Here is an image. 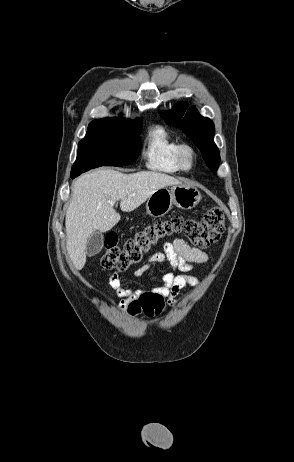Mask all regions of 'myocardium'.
Masks as SVG:
<instances>
[{
  "instance_id": "f54148a6",
  "label": "myocardium",
  "mask_w": 294,
  "mask_h": 462,
  "mask_svg": "<svg viewBox=\"0 0 294 462\" xmlns=\"http://www.w3.org/2000/svg\"><path fill=\"white\" fill-rule=\"evenodd\" d=\"M177 163L181 170H191L196 163L195 149L189 144H180L177 150Z\"/></svg>"
}]
</instances>
